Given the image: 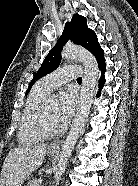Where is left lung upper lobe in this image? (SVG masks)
<instances>
[{"mask_svg":"<svg viewBox=\"0 0 138 186\" xmlns=\"http://www.w3.org/2000/svg\"><path fill=\"white\" fill-rule=\"evenodd\" d=\"M71 39L74 44L81 45L89 50L96 58L99 66L104 64V51L101 49L96 34L87 27V19L79 14L72 17L71 22H67L64 31L55 46L45 57L40 69L34 75L26 94L36 80L54 71L61 62V51L65 43Z\"/></svg>","mask_w":138,"mask_h":186,"instance_id":"obj_1","label":"left lung upper lobe"}]
</instances>
